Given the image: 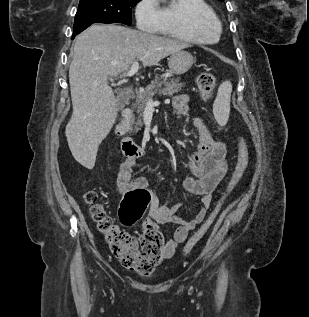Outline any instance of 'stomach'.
Listing matches in <instances>:
<instances>
[{"instance_id": "0dacf381", "label": "stomach", "mask_w": 309, "mask_h": 317, "mask_svg": "<svg viewBox=\"0 0 309 317\" xmlns=\"http://www.w3.org/2000/svg\"><path fill=\"white\" fill-rule=\"evenodd\" d=\"M195 62L194 57L187 51L180 50L168 58L169 71L176 75L186 73Z\"/></svg>"}]
</instances>
